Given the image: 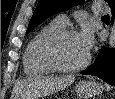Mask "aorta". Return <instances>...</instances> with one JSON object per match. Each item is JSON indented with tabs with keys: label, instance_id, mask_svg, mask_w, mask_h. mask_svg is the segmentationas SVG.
<instances>
[{
	"label": "aorta",
	"instance_id": "1",
	"mask_svg": "<svg viewBox=\"0 0 115 99\" xmlns=\"http://www.w3.org/2000/svg\"><path fill=\"white\" fill-rule=\"evenodd\" d=\"M109 48L110 49L115 48V22L112 26L110 37H109Z\"/></svg>",
	"mask_w": 115,
	"mask_h": 99
}]
</instances>
